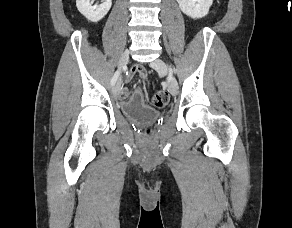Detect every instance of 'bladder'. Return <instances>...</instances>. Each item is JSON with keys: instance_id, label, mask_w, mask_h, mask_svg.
Listing matches in <instances>:
<instances>
[{"instance_id": "31cf9c89", "label": "bladder", "mask_w": 292, "mask_h": 228, "mask_svg": "<svg viewBox=\"0 0 292 228\" xmlns=\"http://www.w3.org/2000/svg\"><path fill=\"white\" fill-rule=\"evenodd\" d=\"M123 115L132 121L139 123H147L158 118L159 112L147 105L127 102L122 105Z\"/></svg>"}]
</instances>
